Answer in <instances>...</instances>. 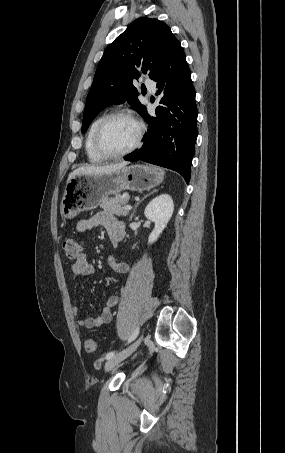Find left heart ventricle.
<instances>
[{"mask_svg":"<svg viewBox=\"0 0 285 453\" xmlns=\"http://www.w3.org/2000/svg\"><path fill=\"white\" fill-rule=\"evenodd\" d=\"M137 125L126 117L111 120L104 129L102 144L109 152H121L128 149L136 140Z\"/></svg>","mask_w":285,"mask_h":453,"instance_id":"obj_1","label":"left heart ventricle"}]
</instances>
